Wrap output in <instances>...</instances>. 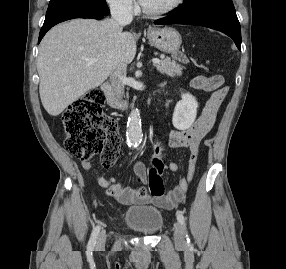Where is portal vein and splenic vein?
<instances>
[{
    "instance_id": "portal-vein-and-splenic-vein-1",
    "label": "portal vein and splenic vein",
    "mask_w": 286,
    "mask_h": 269,
    "mask_svg": "<svg viewBox=\"0 0 286 269\" xmlns=\"http://www.w3.org/2000/svg\"><path fill=\"white\" fill-rule=\"evenodd\" d=\"M84 59H85V61H86L87 63H89V64H92V63H94L95 61H97L96 58H88V57H85ZM152 63H153V64H159V63H160V60L157 59V58H154V59H152Z\"/></svg>"
}]
</instances>
